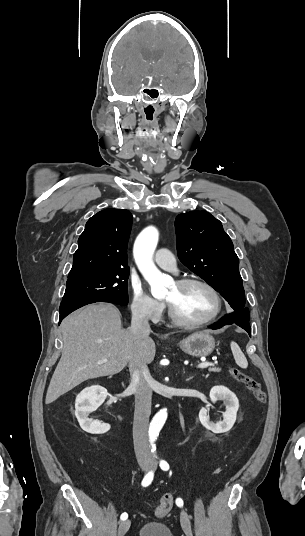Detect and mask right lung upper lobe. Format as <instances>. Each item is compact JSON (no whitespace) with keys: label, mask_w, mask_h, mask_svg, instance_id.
Returning <instances> with one entry per match:
<instances>
[{"label":"right lung upper lobe","mask_w":305,"mask_h":536,"mask_svg":"<svg viewBox=\"0 0 305 536\" xmlns=\"http://www.w3.org/2000/svg\"><path fill=\"white\" fill-rule=\"evenodd\" d=\"M132 215L125 209H105L91 217L78 239L68 278L92 272L129 270L127 243Z\"/></svg>","instance_id":"obj_1"}]
</instances>
